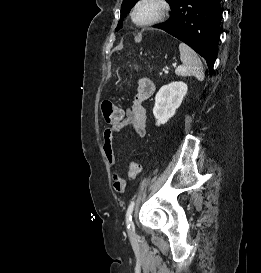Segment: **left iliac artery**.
<instances>
[{"label": "left iliac artery", "instance_id": "obj_1", "mask_svg": "<svg viewBox=\"0 0 261 273\" xmlns=\"http://www.w3.org/2000/svg\"><path fill=\"white\" fill-rule=\"evenodd\" d=\"M134 205H135V202L132 201L127 209V213H126V224H127V228L130 229V223L132 221V212H133V209H134Z\"/></svg>", "mask_w": 261, "mask_h": 273}]
</instances>
